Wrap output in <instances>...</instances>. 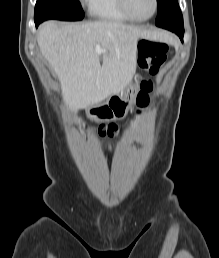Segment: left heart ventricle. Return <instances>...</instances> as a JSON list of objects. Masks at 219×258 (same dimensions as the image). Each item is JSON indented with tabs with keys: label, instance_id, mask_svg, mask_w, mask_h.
I'll list each match as a JSON object with an SVG mask.
<instances>
[{
	"label": "left heart ventricle",
	"instance_id": "obj_1",
	"mask_svg": "<svg viewBox=\"0 0 219 258\" xmlns=\"http://www.w3.org/2000/svg\"><path fill=\"white\" fill-rule=\"evenodd\" d=\"M130 12L138 18L151 15L154 9V0H127Z\"/></svg>",
	"mask_w": 219,
	"mask_h": 258
}]
</instances>
